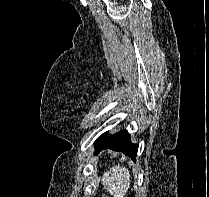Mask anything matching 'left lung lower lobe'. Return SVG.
<instances>
[{"mask_svg":"<svg viewBox=\"0 0 209 197\" xmlns=\"http://www.w3.org/2000/svg\"><path fill=\"white\" fill-rule=\"evenodd\" d=\"M106 134L107 133H104L96 139V154L103 149H111L124 153L132 160L136 159L138 144L131 143L130 134L126 130H122L111 136H106Z\"/></svg>","mask_w":209,"mask_h":197,"instance_id":"obj_1","label":"left lung lower lobe"}]
</instances>
